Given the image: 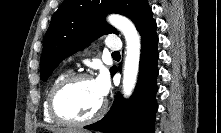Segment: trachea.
<instances>
[{"label": "trachea", "mask_w": 221, "mask_h": 133, "mask_svg": "<svg viewBox=\"0 0 221 133\" xmlns=\"http://www.w3.org/2000/svg\"><path fill=\"white\" fill-rule=\"evenodd\" d=\"M112 56H120V53L119 52H113Z\"/></svg>", "instance_id": "trachea-1"}]
</instances>
